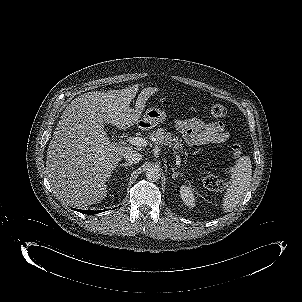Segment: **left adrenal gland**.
<instances>
[{"instance_id":"1","label":"left adrenal gland","mask_w":302,"mask_h":302,"mask_svg":"<svg viewBox=\"0 0 302 302\" xmlns=\"http://www.w3.org/2000/svg\"><path fill=\"white\" fill-rule=\"evenodd\" d=\"M171 170L173 179L178 178V176L181 174L180 172L175 171L174 168H171Z\"/></svg>"}]
</instances>
